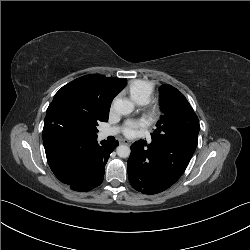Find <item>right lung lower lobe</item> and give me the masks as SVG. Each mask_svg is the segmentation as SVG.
Returning a JSON list of instances; mask_svg holds the SVG:
<instances>
[{
    "mask_svg": "<svg viewBox=\"0 0 250 250\" xmlns=\"http://www.w3.org/2000/svg\"><path fill=\"white\" fill-rule=\"evenodd\" d=\"M118 141L109 143L96 139L72 149L56 170L55 176L75 191H90L103 181L105 164Z\"/></svg>",
    "mask_w": 250,
    "mask_h": 250,
    "instance_id": "obj_1",
    "label": "right lung lower lobe"
}]
</instances>
